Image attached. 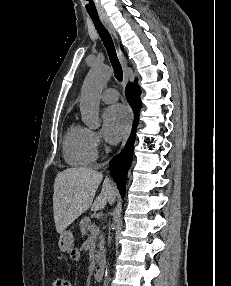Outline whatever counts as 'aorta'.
<instances>
[{"mask_svg": "<svg viewBox=\"0 0 231 286\" xmlns=\"http://www.w3.org/2000/svg\"><path fill=\"white\" fill-rule=\"evenodd\" d=\"M111 70L108 66H94L87 74L81 91L80 112L82 121L89 128H98L100 93L111 77ZM105 271L104 285L107 286V265Z\"/></svg>", "mask_w": 231, "mask_h": 286, "instance_id": "aorta-1", "label": "aorta"}]
</instances>
